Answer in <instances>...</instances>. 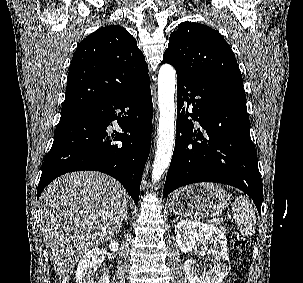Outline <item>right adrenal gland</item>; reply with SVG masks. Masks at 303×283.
Returning <instances> with one entry per match:
<instances>
[{
  "mask_svg": "<svg viewBox=\"0 0 303 283\" xmlns=\"http://www.w3.org/2000/svg\"><path fill=\"white\" fill-rule=\"evenodd\" d=\"M127 215H128V210L126 208L123 215L121 216V220H120L119 225H118L119 228L121 227L123 220L127 221V219H128Z\"/></svg>",
  "mask_w": 303,
  "mask_h": 283,
  "instance_id": "1",
  "label": "right adrenal gland"
}]
</instances>
